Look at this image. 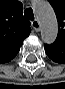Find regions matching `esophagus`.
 Instances as JSON below:
<instances>
[{"label":"esophagus","instance_id":"esophagus-1","mask_svg":"<svg viewBox=\"0 0 65 89\" xmlns=\"http://www.w3.org/2000/svg\"><path fill=\"white\" fill-rule=\"evenodd\" d=\"M32 27H33V29H34L36 32H38V31L40 30L39 21H38V20H34V21L32 22Z\"/></svg>","mask_w":65,"mask_h":89}]
</instances>
